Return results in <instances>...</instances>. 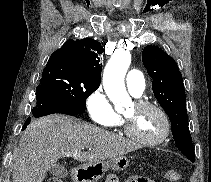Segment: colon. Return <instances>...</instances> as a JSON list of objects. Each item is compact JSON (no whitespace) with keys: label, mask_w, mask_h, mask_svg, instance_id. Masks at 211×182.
<instances>
[{"label":"colon","mask_w":211,"mask_h":182,"mask_svg":"<svg viewBox=\"0 0 211 182\" xmlns=\"http://www.w3.org/2000/svg\"><path fill=\"white\" fill-rule=\"evenodd\" d=\"M164 176H165L166 180H168L170 182H175L179 179L180 174L178 171L170 169L165 172ZM111 179H112L111 176H109L107 181H109ZM49 182H63V181L58 178H51L49 180Z\"/></svg>","instance_id":"1"}]
</instances>
